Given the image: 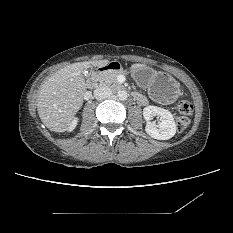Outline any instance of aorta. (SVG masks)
I'll use <instances>...</instances> for the list:
<instances>
[{
  "label": "aorta",
  "instance_id": "762f6f07",
  "mask_svg": "<svg viewBox=\"0 0 233 233\" xmlns=\"http://www.w3.org/2000/svg\"><path fill=\"white\" fill-rule=\"evenodd\" d=\"M117 97L119 100L124 101L128 98V94L125 90L118 91Z\"/></svg>",
  "mask_w": 233,
  "mask_h": 233
}]
</instances>
